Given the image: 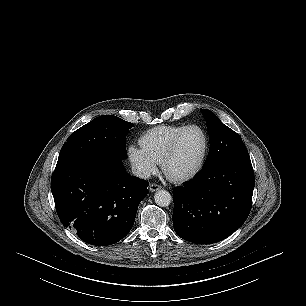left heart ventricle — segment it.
Listing matches in <instances>:
<instances>
[{
    "label": "left heart ventricle",
    "mask_w": 306,
    "mask_h": 306,
    "mask_svg": "<svg viewBox=\"0 0 306 306\" xmlns=\"http://www.w3.org/2000/svg\"><path fill=\"white\" fill-rule=\"evenodd\" d=\"M204 151V137L198 129L188 130L182 137L167 171L172 176L191 172L199 163Z\"/></svg>",
    "instance_id": "b2bd125f"
}]
</instances>
